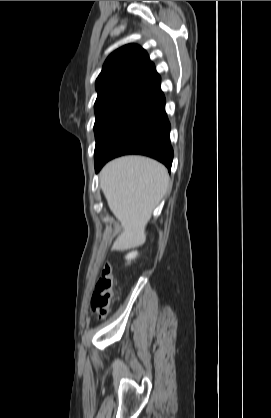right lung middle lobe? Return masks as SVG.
Returning <instances> with one entry per match:
<instances>
[{
  "instance_id": "right-lung-middle-lobe-1",
  "label": "right lung middle lobe",
  "mask_w": 271,
  "mask_h": 418,
  "mask_svg": "<svg viewBox=\"0 0 271 418\" xmlns=\"http://www.w3.org/2000/svg\"><path fill=\"white\" fill-rule=\"evenodd\" d=\"M152 106L151 103L131 98H120L95 104L96 146L94 157L97 158L122 129Z\"/></svg>"
}]
</instances>
